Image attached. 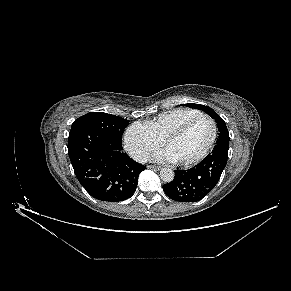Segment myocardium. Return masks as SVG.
<instances>
[{
    "instance_id": "myocardium-1",
    "label": "myocardium",
    "mask_w": 291,
    "mask_h": 291,
    "mask_svg": "<svg viewBox=\"0 0 291 291\" xmlns=\"http://www.w3.org/2000/svg\"><path fill=\"white\" fill-rule=\"evenodd\" d=\"M201 119H205V120L209 121L211 126H212V135H211L210 141L208 142L207 146L204 148V150L199 155H197L196 157H194L190 160H187V161H175L176 164L183 166V167H189V166L195 165V164L199 163L200 161H202L208 155V153L211 151V149L213 148V146L216 142V139H217V124L212 117L205 115V114H201V115L195 116L193 118H190L189 120L185 121L180 126H178L176 129L171 131L163 139V145L167 146V144L169 142L180 137L182 134H184L188 130V128L190 126H192L195 122H197Z\"/></svg>"
}]
</instances>
